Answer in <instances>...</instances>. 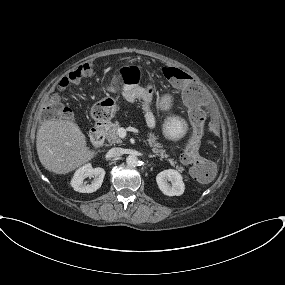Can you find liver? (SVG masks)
<instances>
[{
  "label": "liver",
  "instance_id": "1",
  "mask_svg": "<svg viewBox=\"0 0 285 285\" xmlns=\"http://www.w3.org/2000/svg\"><path fill=\"white\" fill-rule=\"evenodd\" d=\"M36 148L43 167L55 174H67L97 154L87 146L85 135L68 119H50L37 131Z\"/></svg>",
  "mask_w": 285,
  "mask_h": 285
}]
</instances>
